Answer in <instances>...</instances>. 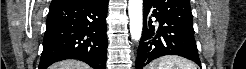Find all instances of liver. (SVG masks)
Returning <instances> with one entry per match:
<instances>
[{
    "label": "liver",
    "mask_w": 246,
    "mask_h": 69,
    "mask_svg": "<svg viewBox=\"0 0 246 69\" xmlns=\"http://www.w3.org/2000/svg\"><path fill=\"white\" fill-rule=\"evenodd\" d=\"M50 69H89V66L76 60H65L51 66Z\"/></svg>",
    "instance_id": "6515ba94"
}]
</instances>
